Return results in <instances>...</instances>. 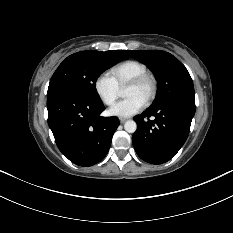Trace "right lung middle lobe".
I'll return each instance as SVG.
<instances>
[{"instance_id": "obj_1", "label": "right lung middle lobe", "mask_w": 233, "mask_h": 233, "mask_svg": "<svg viewBox=\"0 0 233 233\" xmlns=\"http://www.w3.org/2000/svg\"><path fill=\"white\" fill-rule=\"evenodd\" d=\"M127 58L125 50L74 53L68 56L54 72L47 96L65 94L93 103H102L96 91L97 78L106 69Z\"/></svg>"}]
</instances>
